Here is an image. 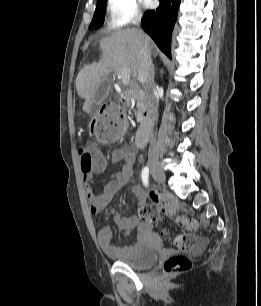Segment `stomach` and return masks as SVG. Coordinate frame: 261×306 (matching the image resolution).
I'll return each instance as SVG.
<instances>
[{
	"instance_id": "1",
	"label": "stomach",
	"mask_w": 261,
	"mask_h": 306,
	"mask_svg": "<svg viewBox=\"0 0 261 306\" xmlns=\"http://www.w3.org/2000/svg\"><path fill=\"white\" fill-rule=\"evenodd\" d=\"M93 119H97V116H95ZM127 128V122L123 121V130H126Z\"/></svg>"
}]
</instances>
